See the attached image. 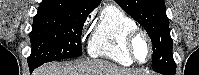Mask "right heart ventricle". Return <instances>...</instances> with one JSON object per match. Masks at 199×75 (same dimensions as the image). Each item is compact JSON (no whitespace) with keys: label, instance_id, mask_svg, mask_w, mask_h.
Instances as JSON below:
<instances>
[{"label":"right heart ventricle","instance_id":"e07e8e85","mask_svg":"<svg viewBox=\"0 0 199 75\" xmlns=\"http://www.w3.org/2000/svg\"><path fill=\"white\" fill-rule=\"evenodd\" d=\"M136 27L135 20L122 9L108 6L103 10L91 34L88 52L93 57H104L118 64L134 63L126 46L127 32Z\"/></svg>","mask_w":199,"mask_h":75}]
</instances>
